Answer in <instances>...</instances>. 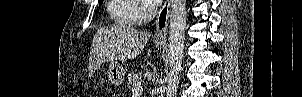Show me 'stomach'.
<instances>
[{
    "label": "stomach",
    "mask_w": 302,
    "mask_h": 97,
    "mask_svg": "<svg viewBox=\"0 0 302 97\" xmlns=\"http://www.w3.org/2000/svg\"><path fill=\"white\" fill-rule=\"evenodd\" d=\"M156 47H162V43H156ZM110 82L114 85H120L124 82L125 69L117 61L112 60L107 71Z\"/></svg>",
    "instance_id": "1"
}]
</instances>
